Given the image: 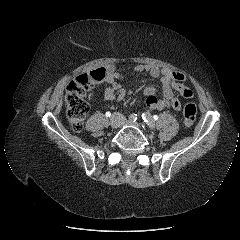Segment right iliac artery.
Listing matches in <instances>:
<instances>
[{
	"label": "right iliac artery",
	"mask_w": 240,
	"mask_h": 240,
	"mask_svg": "<svg viewBox=\"0 0 240 240\" xmlns=\"http://www.w3.org/2000/svg\"><path fill=\"white\" fill-rule=\"evenodd\" d=\"M129 120L135 122L137 120V114L134 113L130 114Z\"/></svg>",
	"instance_id": "right-iliac-artery-1"
}]
</instances>
